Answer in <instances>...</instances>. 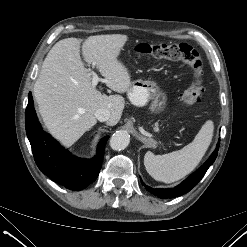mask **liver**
Returning a JSON list of instances; mask_svg holds the SVG:
<instances>
[{"label":"liver","mask_w":247,"mask_h":247,"mask_svg":"<svg viewBox=\"0 0 247 247\" xmlns=\"http://www.w3.org/2000/svg\"><path fill=\"white\" fill-rule=\"evenodd\" d=\"M128 40L127 35L90 36L82 43V55L105 78L106 85L117 93L131 86L128 69L118 60ZM81 39L58 41L47 54L33 88L39 112L48 131L63 145L71 146L97 123L95 112L109 110V126L116 125L125 100L119 95L101 94L92 86L89 69L80 56Z\"/></svg>","instance_id":"6515ba94"}]
</instances>
